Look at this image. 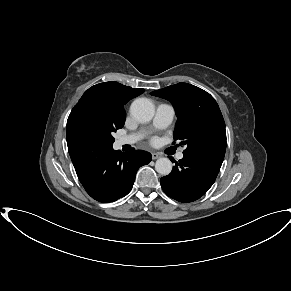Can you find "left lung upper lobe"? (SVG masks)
Returning <instances> with one entry per match:
<instances>
[{
	"label": "left lung upper lobe",
	"instance_id": "1",
	"mask_svg": "<svg viewBox=\"0 0 291 291\" xmlns=\"http://www.w3.org/2000/svg\"><path fill=\"white\" fill-rule=\"evenodd\" d=\"M151 95L170 101L177 115L174 140L185 145L183 154L204 161H223L226 151L225 122L215 99L206 91L178 83Z\"/></svg>",
	"mask_w": 291,
	"mask_h": 291
}]
</instances>
